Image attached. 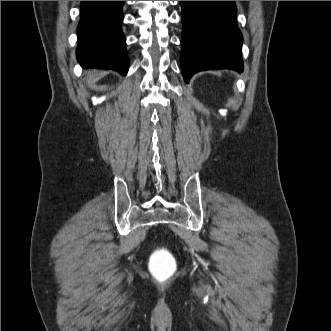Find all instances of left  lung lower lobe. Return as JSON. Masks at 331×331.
Segmentation results:
<instances>
[{
  "label": "left lung lower lobe",
  "instance_id": "left-lung-lower-lobe-1",
  "mask_svg": "<svg viewBox=\"0 0 331 331\" xmlns=\"http://www.w3.org/2000/svg\"><path fill=\"white\" fill-rule=\"evenodd\" d=\"M182 6L181 68L184 80L199 71H243L242 35L234 1H179Z\"/></svg>",
  "mask_w": 331,
  "mask_h": 331
}]
</instances>
